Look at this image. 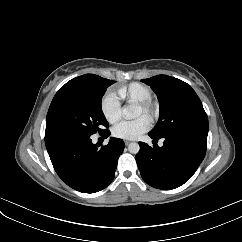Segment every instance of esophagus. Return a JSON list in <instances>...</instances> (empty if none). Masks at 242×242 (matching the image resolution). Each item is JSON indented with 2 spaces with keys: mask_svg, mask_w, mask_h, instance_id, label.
<instances>
[{
  "mask_svg": "<svg viewBox=\"0 0 242 242\" xmlns=\"http://www.w3.org/2000/svg\"><path fill=\"white\" fill-rule=\"evenodd\" d=\"M125 144H126V145L130 144V141H125Z\"/></svg>",
  "mask_w": 242,
  "mask_h": 242,
  "instance_id": "1",
  "label": "esophagus"
}]
</instances>
